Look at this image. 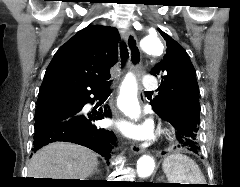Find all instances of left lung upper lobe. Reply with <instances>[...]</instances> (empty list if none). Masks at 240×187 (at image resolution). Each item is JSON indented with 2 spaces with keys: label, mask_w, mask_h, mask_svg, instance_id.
<instances>
[{
  "label": "left lung upper lobe",
  "mask_w": 240,
  "mask_h": 187,
  "mask_svg": "<svg viewBox=\"0 0 240 187\" xmlns=\"http://www.w3.org/2000/svg\"><path fill=\"white\" fill-rule=\"evenodd\" d=\"M166 40V54L150 74L161 76L159 96L151 101L157 113L185 116L199 126V86L196 71L185 49L159 29Z\"/></svg>",
  "instance_id": "obj_1"
}]
</instances>
